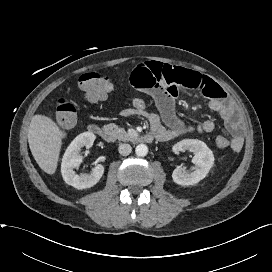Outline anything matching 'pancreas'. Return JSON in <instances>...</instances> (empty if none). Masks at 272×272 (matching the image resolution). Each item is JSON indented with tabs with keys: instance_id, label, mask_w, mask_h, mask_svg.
Instances as JSON below:
<instances>
[{
	"instance_id": "1",
	"label": "pancreas",
	"mask_w": 272,
	"mask_h": 272,
	"mask_svg": "<svg viewBox=\"0 0 272 272\" xmlns=\"http://www.w3.org/2000/svg\"><path fill=\"white\" fill-rule=\"evenodd\" d=\"M104 130L113 140H130V135L125 129L118 127L116 124L111 123L104 126Z\"/></svg>"
}]
</instances>
